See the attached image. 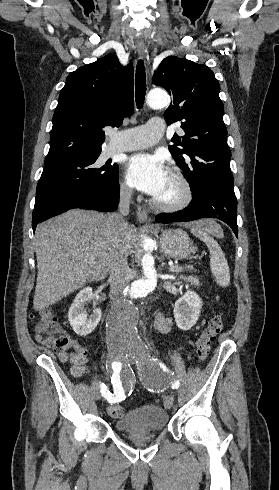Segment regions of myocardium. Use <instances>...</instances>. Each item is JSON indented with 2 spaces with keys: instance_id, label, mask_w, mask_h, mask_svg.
<instances>
[{
  "instance_id": "f54148a6",
  "label": "myocardium",
  "mask_w": 279,
  "mask_h": 490,
  "mask_svg": "<svg viewBox=\"0 0 279 490\" xmlns=\"http://www.w3.org/2000/svg\"><path fill=\"white\" fill-rule=\"evenodd\" d=\"M169 174L172 176L174 181L181 188V196L175 201L166 202L160 199L154 201L153 205L155 209L163 213H176L184 208H186L193 199V191L190 182L184 176L181 169L178 167H171L169 169Z\"/></svg>"
}]
</instances>
